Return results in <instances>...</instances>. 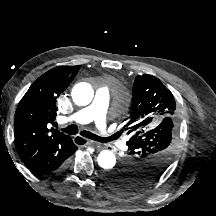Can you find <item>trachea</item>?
I'll return each mask as SVG.
<instances>
[{"label": "trachea", "mask_w": 216, "mask_h": 216, "mask_svg": "<svg viewBox=\"0 0 216 216\" xmlns=\"http://www.w3.org/2000/svg\"><path fill=\"white\" fill-rule=\"evenodd\" d=\"M62 130L65 133L70 134V135H74V134L78 133V127L75 124L69 125L68 127L64 128ZM80 134L86 138H89L91 140L98 141L101 143H107V142H110V141L115 139V137L103 138V137L97 136V135H95L89 131H85V130L81 131ZM76 143L77 144H83V142H76Z\"/></svg>", "instance_id": "obj_1"}]
</instances>
